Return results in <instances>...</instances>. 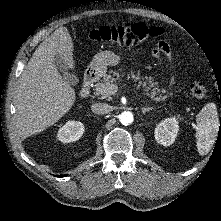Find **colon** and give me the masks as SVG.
<instances>
[{"label": "colon", "instance_id": "colon-1", "mask_svg": "<svg viewBox=\"0 0 221 221\" xmlns=\"http://www.w3.org/2000/svg\"><path fill=\"white\" fill-rule=\"evenodd\" d=\"M163 34L160 27H149L143 23H135L126 26L101 27L89 34V39L95 42H107L122 47L141 44L150 38H156ZM191 95L197 99H203L207 95V88L203 81L195 80L190 86Z\"/></svg>", "mask_w": 221, "mask_h": 221}]
</instances>
